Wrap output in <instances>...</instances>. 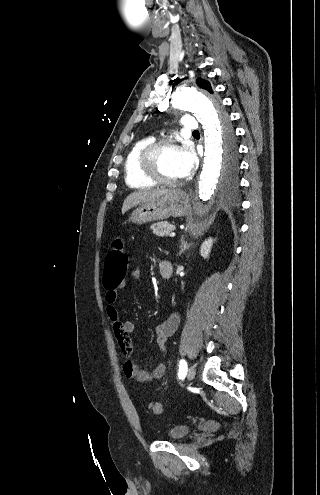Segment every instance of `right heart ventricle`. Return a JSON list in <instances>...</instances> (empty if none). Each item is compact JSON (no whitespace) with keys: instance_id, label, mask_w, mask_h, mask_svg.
I'll use <instances>...</instances> for the list:
<instances>
[{"instance_id":"e07e8e85","label":"right heart ventricle","mask_w":320,"mask_h":495,"mask_svg":"<svg viewBox=\"0 0 320 495\" xmlns=\"http://www.w3.org/2000/svg\"><path fill=\"white\" fill-rule=\"evenodd\" d=\"M152 137H145L137 141L129 150L124 162L125 182L131 188H152L156 183L142 174L139 168V156L142 150L151 142Z\"/></svg>"}]
</instances>
